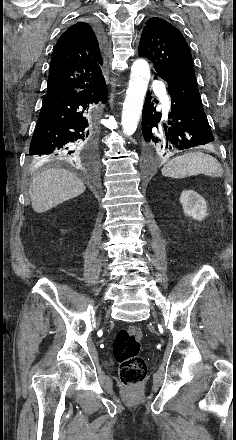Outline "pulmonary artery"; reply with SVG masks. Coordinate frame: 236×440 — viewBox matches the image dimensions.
Here are the masks:
<instances>
[{"mask_svg":"<svg viewBox=\"0 0 236 440\" xmlns=\"http://www.w3.org/2000/svg\"><path fill=\"white\" fill-rule=\"evenodd\" d=\"M156 89H157V91H159L162 94L163 103H164L165 107L168 109L169 108V100H168V96L166 95V87H165L164 83L158 82L156 84Z\"/></svg>","mask_w":236,"mask_h":440,"instance_id":"1","label":"pulmonary artery"}]
</instances>
